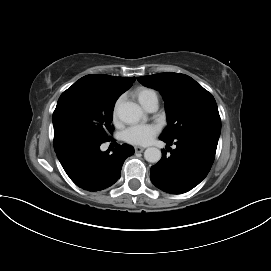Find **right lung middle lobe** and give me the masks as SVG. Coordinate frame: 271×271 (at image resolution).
<instances>
[{
    "mask_svg": "<svg viewBox=\"0 0 271 271\" xmlns=\"http://www.w3.org/2000/svg\"><path fill=\"white\" fill-rule=\"evenodd\" d=\"M117 99L95 95L80 86L64 91L53 113L56 154L76 146L110 140Z\"/></svg>",
    "mask_w": 271,
    "mask_h": 271,
    "instance_id": "obj_1",
    "label": "right lung middle lobe"
}]
</instances>
